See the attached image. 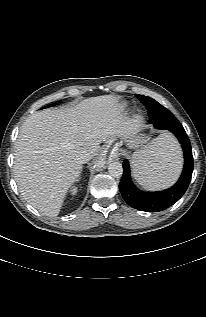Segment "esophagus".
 <instances>
[{
    "mask_svg": "<svg viewBox=\"0 0 206 317\" xmlns=\"http://www.w3.org/2000/svg\"><path fill=\"white\" fill-rule=\"evenodd\" d=\"M100 158L104 159L105 157L103 156V154H101V157H100Z\"/></svg>",
    "mask_w": 206,
    "mask_h": 317,
    "instance_id": "34e87169",
    "label": "esophagus"
}]
</instances>
